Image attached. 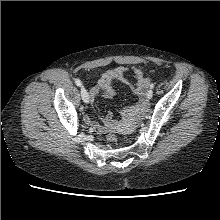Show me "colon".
<instances>
[{
	"mask_svg": "<svg viewBox=\"0 0 220 220\" xmlns=\"http://www.w3.org/2000/svg\"><path fill=\"white\" fill-rule=\"evenodd\" d=\"M107 140L111 143H115L117 141V136L114 132H109L106 136Z\"/></svg>",
	"mask_w": 220,
	"mask_h": 220,
	"instance_id": "1",
	"label": "colon"
}]
</instances>
